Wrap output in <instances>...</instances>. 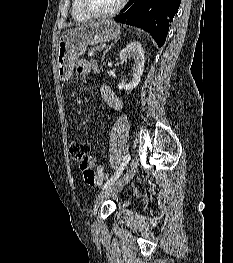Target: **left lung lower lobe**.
I'll list each match as a JSON object with an SVG mask.
<instances>
[{
	"label": "left lung lower lobe",
	"instance_id": "obj_1",
	"mask_svg": "<svg viewBox=\"0 0 233 263\" xmlns=\"http://www.w3.org/2000/svg\"><path fill=\"white\" fill-rule=\"evenodd\" d=\"M180 2L181 0H130L115 20L146 30L161 47Z\"/></svg>",
	"mask_w": 233,
	"mask_h": 263
}]
</instances>
